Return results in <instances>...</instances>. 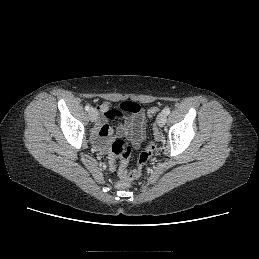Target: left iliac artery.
I'll list each match as a JSON object with an SVG mask.
<instances>
[{
	"label": "left iliac artery",
	"instance_id": "left-iliac-artery-1",
	"mask_svg": "<svg viewBox=\"0 0 259 259\" xmlns=\"http://www.w3.org/2000/svg\"><path fill=\"white\" fill-rule=\"evenodd\" d=\"M164 112H165L166 115H169L171 111H170L169 108H167V109L164 110Z\"/></svg>",
	"mask_w": 259,
	"mask_h": 259
}]
</instances>
